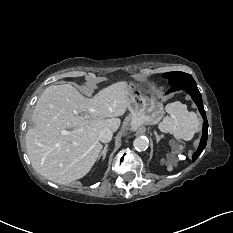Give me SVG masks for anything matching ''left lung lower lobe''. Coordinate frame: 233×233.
<instances>
[{
  "label": "left lung lower lobe",
  "instance_id": "1",
  "mask_svg": "<svg viewBox=\"0 0 233 233\" xmlns=\"http://www.w3.org/2000/svg\"><path fill=\"white\" fill-rule=\"evenodd\" d=\"M186 90L192 97V99L194 100V102L196 103V105L199 108V111L204 119L203 122V135L200 141V145L198 150L193 154L192 159L193 161H195L199 155L202 153V151L204 150V148L206 147L207 144V136H208V122L206 119V113L203 107V102H202V97L201 94L197 88V85L195 83V81H185V82H181L178 84H175L173 86H171V88L169 89V92H173V91H177V90Z\"/></svg>",
  "mask_w": 233,
  "mask_h": 233
}]
</instances>
